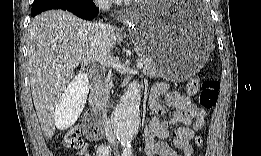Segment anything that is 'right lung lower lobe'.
<instances>
[{"label": "right lung lower lobe", "instance_id": "right-lung-lower-lobe-1", "mask_svg": "<svg viewBox=\"0 0 261 156\" xmlns=\"http://www.w3.org/2000/svg\"><path fill=\"white\" fill-rule=\"evenodd\" d=\"M51 9L67 10L83 19H93L99 11L92 0H61L56 3L33 6L31 15Z\"/></svg>", "mask_w": 261, "mask_h": 156}]
</instances>
